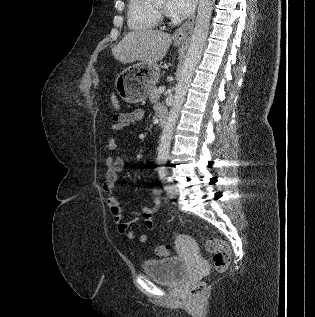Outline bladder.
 Here are the masks:
<instances>
[{
    "label": "bladder",
    "mask_w": 315,
    "mask_h": 317,
    "mask_svg": "<svg viewBox=\"0 0 315 317\" xmlns=\"http://www.w3.org/2000/svg\"><path fill=\"white\" fill-rule=\"evenodd\" d=\"M143 272L155 281L167 285L177 286L186 277L188 267L179 257L163 259H147L142 263Z\"/></svg>",
    "instance_id": "31cf9c89"
}]
</instances>
